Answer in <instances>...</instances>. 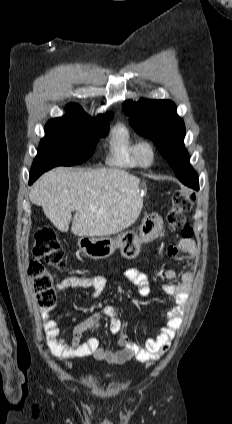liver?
<instances>
[{"mask_svg":"<svg viewBox=\"0 0 232 424\" xmlns=\"http://www.w3.org/2000/svg\"><path fill=\"white\" fill-rule=\"evenodd\" d=\"M140 179L118 168L71 169L56 167L33 185L31 203L41 206L61 232L82 237L116 234L133 224L143 207L145 189ZM95 207V212L90 211Z\"/></svg>","mask_w":232,"mask_h":424,"instance_id":"6515ba94","label":"liver"}]
</instances>
